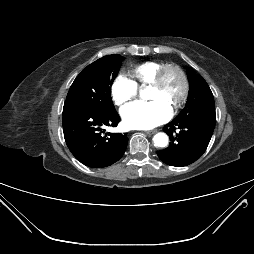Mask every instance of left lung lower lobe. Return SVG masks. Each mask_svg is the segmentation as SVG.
<instances>
[{"instance_id": "left-lung-lower-lobe-1", "label": "left lung lower lobe", "mask_w": 254, "mask_h": 254, "mask_svg": "<svg viewBox=\"0 0 254 254\" xmlns=\"http://www.w3.org/2000/svg\"><path fill=\"white\" fill-rule=\"evenodd\" d=\"M215 107L190 106L164 127L171 144L157 151L166 164L176 167L195 162L205 152L215 127Z\"/></svg>"}]
</instances>
